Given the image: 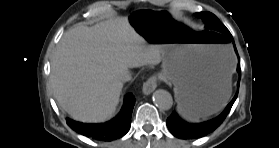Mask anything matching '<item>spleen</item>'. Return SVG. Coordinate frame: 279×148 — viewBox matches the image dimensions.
<instances>
[{
	"instance_id": "1",
	"label": "spleen",
	"mask_w": 279,
	"mask_h": 148,
	"mask_svg": "<svg viewBox=\"0 0 279 148\" xmlns=\"http://www.w3.org/2000/svg\"><path fill=\"white\" fill-rule=\"evenodd\" d=\"M223 55H224V57H227V56H228V52H227V51L223 52ZM233 66H234V63H233ZM225 94L227 95V97H228V99H229V97H230V95H231V81H229V82L227 83V85H226ZM228 99H227V100H228Z\"/></svg>"
}]
</instances>
